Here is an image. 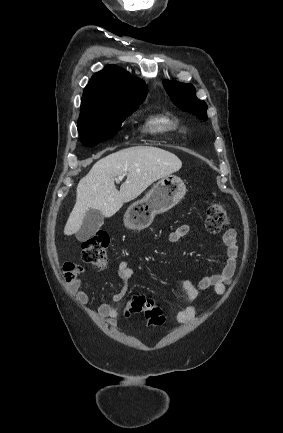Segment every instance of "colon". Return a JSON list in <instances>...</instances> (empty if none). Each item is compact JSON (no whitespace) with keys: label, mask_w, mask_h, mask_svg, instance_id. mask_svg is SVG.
Here are the masks:
<instances>
[{"label":"colon","mask_w":283,"mask_h":433,"mask_svg":"<svg viewBox=\"0 0 283 433\" xmlns=\"http://www.w3.org/2000/svg\"><path fill=\"white\" fill-rule=\"evenodd\" d=\"M230 221L223 204L212 202L207 208L205 220L206 228L210 232H219ZM109 237L106 233H97L82 243V259L88 265L102 271L108 265ZM64 278L67 282L74 281L79 273L80 267L73 262H66L63 265ZM125 313L127 316L136 313H143L150 327H159L164 323V316L161 309L143 296H134L127 304Z\"/></svg>","instance_id":"1"}]
</instances>
